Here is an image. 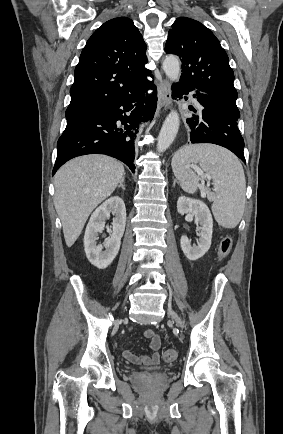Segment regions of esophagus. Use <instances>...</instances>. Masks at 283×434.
I'll return each mask as SVG.
<instances>
[{
	"mask_svg": "<svg viewBox=\"0 0 283 434\" xmlns=\"http://www.w3.org/2000/svg\"><path fill=\"white\" fill-rule=\"evenodd\" d=\"M171 90H170V83L167 80H164L159 88V101H158V107L156 111V116L158 117L160 115L161 109H167L171 104Z\"/></svg>",
	"mask_w": 283,
	"mask_h": 434,
	"instance_id": "1",
	"label": "esophagus"
}]
</instances>
